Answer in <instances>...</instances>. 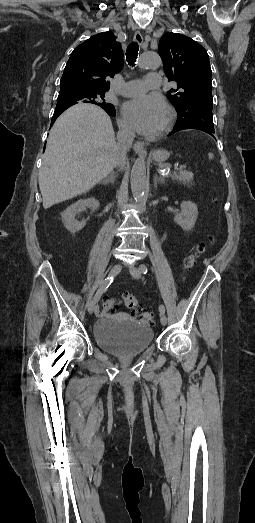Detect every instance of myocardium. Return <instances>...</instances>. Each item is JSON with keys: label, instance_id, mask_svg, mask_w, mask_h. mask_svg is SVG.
<instances>
[{"label": "myocardium", "instance_id": "f54148a6", "mask_svg": "<svg viewBox=\"0 0 255 523\" xmlns=\"http://www.w3.org/2000/svg\"><path fill=\"white\" fill-rule=\"evenodd\" d=\"M166 108L169 112V120H168V124L166 126V128L164 129V131L160 134H158L156 137L154 138H160V137H163V136H166L173 128L175 122H176V119H177V112L176 110L170 105V104H167L166 103Z\"/></svg>", "mask_w": 255, "mask_h": 523}]
</instances>
